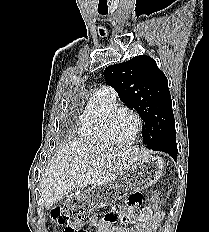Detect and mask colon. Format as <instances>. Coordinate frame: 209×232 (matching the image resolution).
<instances>
[{"mask_svg":"<svg viewBox=\"0 0 209 232\" xmlns=\"http://www.w3.org/2000/svg\"><path fill=\"white\" fill-rule=\"evenodd\" d=\"M159 196H155V201H159ZM131 213H128V215H123L120 217L121 221L124 223L130 222V215ZM51 218L57 222L59 225L64 226V232H83L82 231V223L84 221H74V218H70L69 215L63 214V212L59 209H53L51 212ZM90 219V218H89ZM115 215L113 214H108L105 215L104 220L108 223L114 221Z\"/></svg>","mask_w":209,"mask_h":232,"instance_id":"1","label":"colon"}]
</instances>
